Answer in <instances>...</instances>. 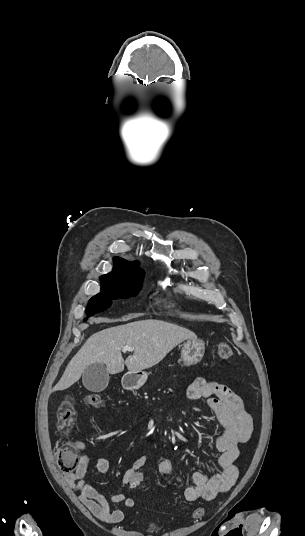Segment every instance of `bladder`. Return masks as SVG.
Listing matches in <instances>:
<instances>
[{
  "label": "bladder",
  "instance_id": "bladder-1",
  "mask_svg": "<svg viewBox=\"0 0 305 536\" xmlns=\"http://www.w3.org/2000/svg\"><path fill=\"white\" fill-rule=\"evenodd\" d=\"M157 528V525L156 523L152 522V521H149L146 525H145V530L149 533H153L155 531V529Z\"/></svg>",
  "mask_w": 305,
  "mask_h": 536
}]
</instances>
